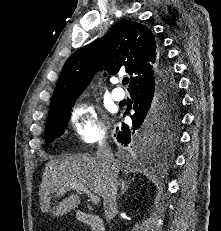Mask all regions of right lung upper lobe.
I'll list each match as a JSON object with an SVG mask.
<instances>
[{
  "label": "right lung upper lobe",
  "mask_w": 221,
  "mask_h": 231,
  "mask_svg": "<svg viewBox=\"0 0 221 231\" xmlns=\"http://www.w3.org/2000/svg\"><path fill=\"white\" fill-rule=\"evenodd\" d=\"M159 46L150 29L122 20L101 39L80 48L66 61L54 90L49 114L66 101L77 98L97 70L111 75L124 67L131 76L129 92L153 83L158 76Z\"/></svg>",
  "instance_id": "right-lung-upper-lobe-1"
}]
</instances>
